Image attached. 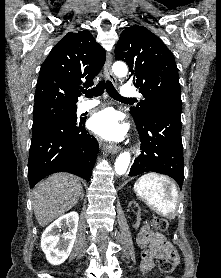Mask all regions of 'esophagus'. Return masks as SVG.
Segmentation results:
<instances>
[{
    "label": "esophagus",
    "mask_w": 221,
    "mask_h": 278,
    "mask_svg": "<svg viewBox=\"0 0 221 278\" xmlns=\"http://www.w3.org/2000/svg\"><path fill=\"white\" fill-rule=\"evenodd\" d=\"M111 66H112V55L108 54L104 65V72L108 79H110L113 82H116V78L113 75ZM102 149L108 150L111 154H116L119 151L120 147L116 144H103Z\"/></svg>",
    "instance_id": "34e87169"
}]
</instances>
